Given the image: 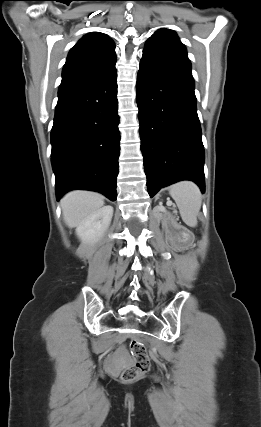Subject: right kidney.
I'll list each match as a JSON object with an SVG mask.
<instances>
[{
	"mask_svg": "<svg viewBox=\"0 0 261 427\" xmlns=\"http://www.w3.org/2000/svg\"><path fill=\"white\" fill-rule=\"evenodd\" d=\"M113 216V207L104 206L86 218L77 228L76 234L84 243L98 241L110 225Z\"/></svg>",
	"mask_w": 261,
	"mask_h": 427,
	"instance_id": "ca27d5eb",
	"label": "right kidney"
}]
</instances>
